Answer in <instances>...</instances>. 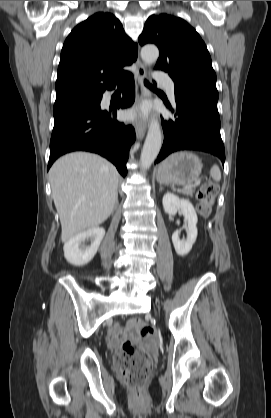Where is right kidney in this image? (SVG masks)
I'll return each instance as SVG.
<instances>
[{
    "instance_id": "1",
    "label": "right kidney",
    "mask_w": 271,
    "mask_h": 418,
    "mask_svg": "<svg viewBox=\"0 0 271 418\" xmlns=\"http://www.w3.org/2000/svg\"><path fill=\"white\" fill-rule=\"evenodd\" d=\"M105 235L101 227H94L79 233L64 244V256L66 260L76 266L85 265L90 262L100 246ZM90 240V246H82L85 241Z\"/></svg>"
}]
</instances>
